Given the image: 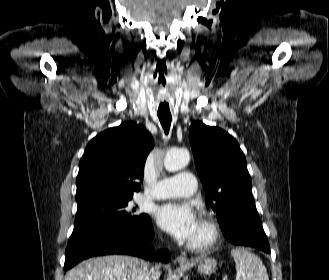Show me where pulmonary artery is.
Wrapping results in <instances>:
<instances>
[{"mask_svg":"<svg viewBox=\"0 0 329 280\" xmlns=\"http://www.w3.org/2000/svg\"><path fill=\"white\" fill-rule=\"evenodd\" d=\"M196 191V179L190 172H181L174 176L160 179L147 190L146 195L153 199L171 197H189Z\"/></svg>","mask_w":329,"mask_h":280,"instance_id":"e3ab8cb5","label":"pulmonary artery"}]
</instances>
